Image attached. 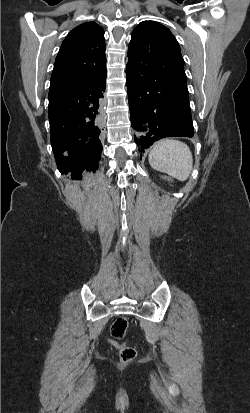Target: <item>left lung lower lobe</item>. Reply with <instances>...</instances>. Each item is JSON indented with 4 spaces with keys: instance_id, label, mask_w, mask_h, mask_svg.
Masks as SVG:
<instances>
[{
    "instance_id": "0a47b994",
    "label": "left lung lower lobe",
    "mask_w": 250,
    "mask_h": 413,
    "mask_svg": "<svg viewBox=\"0 0 250 413\" xmlns=\"http://www.w3.org/2000/svg\"><path fill=\"white\" fill-rule=\"evenodd\" d=\"M126 66L131 125L138 133L134 141L144 152L165 137H192L186 75L159 59L151 39L128 48Z\"/></svg>"
}]
</instances>
